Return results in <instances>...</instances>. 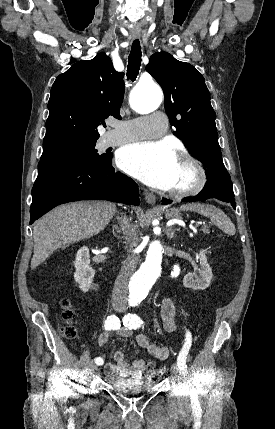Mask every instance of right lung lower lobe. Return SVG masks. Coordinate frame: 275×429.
<instances>
[{
	"instance_id": "98d812e1",
	"label": "right lung lower lobe",
	"mask_w": 275,
	"mask_h": 429,
	"mask_svg": "<svg viewBox=\"0 0 275 429\" xmlns=\"http://www.w3.org/2000/svg\"><path fill=\"white\" fill-rule=\"evenodd\" d=\"M88 199L139 205L137 184L116 172L111 161L88 167H64L38 174L32 189L30 224L57 205Z\"/></svg>"
}]
</instances>
